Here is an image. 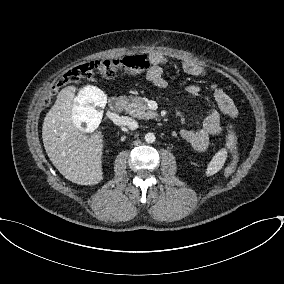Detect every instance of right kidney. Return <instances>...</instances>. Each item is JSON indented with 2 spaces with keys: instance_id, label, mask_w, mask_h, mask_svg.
Masks as SVG:
<instances>
[{
  "instance_id": "obj_1",
  "label": "right kidney",
  "mask_w": 284,
  "mask_h": 284,
  "mask_svg": "<svg viewBox=\"0 0 284 284\" xmlns=\"http://www.w3.org/2000/svg\"><path fill=\"white\" fill-rule=\"evenodd\" d=\"M106 101V95L97 87L87 86L81 89L75 98L73 107L72 120L74 125L82 132H94L102 119V115L95 107L103 108Z\"/></svg>"
}]
</instances>
